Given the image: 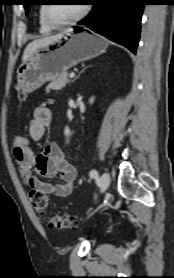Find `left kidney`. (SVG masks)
Listing matches in <instances>:
<instances>
[{
	"mask_svg": "<svg viewBox=\"0 0 174 278\" xmlns=\"http://www.w3.org/2000/svg\"><path fill=\"white\" fill-rule=\"evenodd\" d=\"M89 102H90V104H92L94 102V97H91ZM64 134H65L66 137L70 136V130L67 126L65 127ZM67 141H68V139H67Z\"/></svg>",
	"mask_w": 174,
	"mask_h": 278,
	"instance_id": "obj_1",
	"label": "left kidney"
}]
</instances>
